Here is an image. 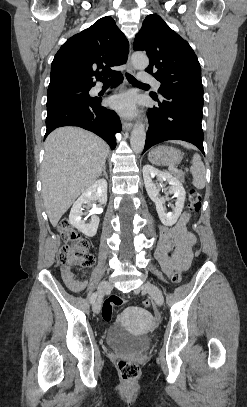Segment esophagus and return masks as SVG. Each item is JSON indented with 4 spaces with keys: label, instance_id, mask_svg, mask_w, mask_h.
<instances>
[{
    "label": "esophagus",
    "instance_id": "34e87169",
    "mask_svg": "<svg viewBox=\"0 0 247 407\" xmlns=\"http://www.w3.org/2000/svg\"><path fill=\"white\" fill-rule=\"evenodd\" d=\"M130 54H131V45L129 47V55H128V60H127V69H128L129 73L135 74V69L132 66L131 61H130ZM122 126H123L124 130L130 131L132 129V127H133V124L131 122H129V121L123 120L122 121Z\"/></svg>",
    "mask_w": 247,
    "mask_h": 407
}]
</instances>
